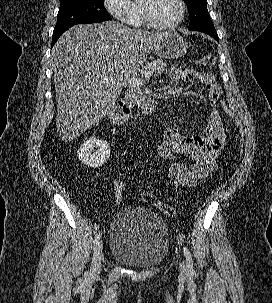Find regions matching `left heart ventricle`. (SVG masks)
Returning a JSON list of instances; mask_svg holds the SVG:
<instances>
[{
	"instance_id": "left-heart-ventricle-1",
	"label": "left heart ventricle",
	"mask_w": 272,
	"mask_h": 303,
	"mask_svg": "<svg viewBox=\"0 0 272 303\" xmlns=\"http://www.w3.org/2000/svg\"><path fill=\"white\" fill-rule=\"evenodd\" d=\"M178 0H153L151 11L156 22L167 25L174 22L180 14Z\"/></svg>"
}]
</instances>
